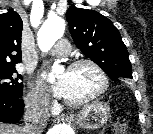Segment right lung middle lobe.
<instances>
[{"label":"right lung middle lobe","instance_id":"right-lung-middle-lobe-1","mask_svg":"<svg viewBox=\"0 0 153 134\" xmlns=\"http://www.w3.org/2000/svg\"><path fill=\"white\" fill-rule=\"evenodd\" d=\"M22 76L16 74L15 66L0 67V93L19 96L23 94V83L18 82Z\"/></svg>","mask_w":153,"mask_h":134}]
</instances>
